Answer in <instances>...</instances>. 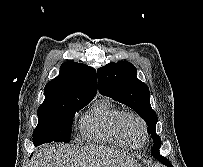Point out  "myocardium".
Instances as JSON below:
<instances>
[{"label": "myocardium", "mask_w": 203, "mask_h": 167, "mask_svg": "<svg viewBox=\"0 0 203 167\" xmlns=\"http://www.w3.org/2000/svg\"><path fill=\"white\" fill-rule=\"evenodd\" d=\"M130 119L136 120L141 125L143 138H142V142L140 144L133 143L127 133L126 122ZM119 130H120L121 134L123 135V137L125 138V140L132 147H140V146L144 145L147 140V136H148L147 124H146L145 120L136 112H125L121 116V118L119 120Z\"/></svg>", "instance_id": "1"}]
</instances>
